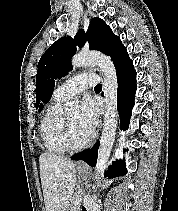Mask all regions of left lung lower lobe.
Instances as JSON below:
<instances>
[{"instance_id": "1", "label": "left lung lower lobe", "mask_w": 178, "mask_h": 211, "mask_svg": "<svg viewBox=\"0 0 178 211\" xmlns=\"http://www.w3.org/2000/svg\"><path fill=\"white\" fill-rule=\"evenodd\" d=\"M116 73L118 81L117 106L121 118V128L126 130L129 126V120L132 113L133 102L136 92V72L133 62L126 53L116 63ZM99 142L89 150L75 154L72 160H83L90 166H95L97 161ZM127 173L125 163L117 161L106 172V176L110 178L122 176Z\"/></svg>"}]
</instances>
